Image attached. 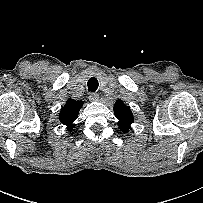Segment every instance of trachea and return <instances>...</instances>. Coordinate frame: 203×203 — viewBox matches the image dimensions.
I'll list each match as a JSON object with an SVG mask.
<instances>
[{"label": "trachea", "mask_w": 203, "mask_h": 203, "mask_svg": "<svg viewBox=\"0 0 203 203\" xmlns=\"http://www.w3.org/2000/svg\"><path fill=\"white\" fill-rule=\"evenodd\" d=\"M88 90L95 92L99 86L98 80L95 77H91L87 82Z\"/></svg>", "instance_id": "1"}]
</instances>
